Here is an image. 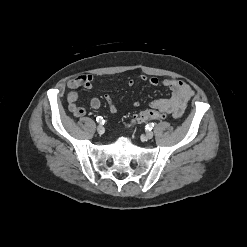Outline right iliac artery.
Returning a JSON list of instances; mask_svg holds the SVG:
<instances>
[{
  "label": "right iliac artery",
  "mask_w": 247,
  "mask_h": 247,
  "mask_svg": "<svg viewBox=\"0 0 247 247\" xmlns=\"http://www.w3.org/2000/svg\"><path fill=\"white\" fill-rule=\"evenodd\" d=\"M96 120L99 124H104V119L101 116H98Z\"/></svg>",
  "instance_id": "obj_1"
}]
</instances>
